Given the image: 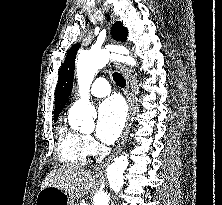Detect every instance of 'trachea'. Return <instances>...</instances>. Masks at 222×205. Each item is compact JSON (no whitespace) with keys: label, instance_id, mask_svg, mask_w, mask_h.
I'll use <instances>...</instances> for the list:
<instances>
[{"label":"trachea","instance_id":"trachea-1","mask_svg":"<svg viewBox=\"0 0 222 205\" xmlns=\"http://www.w3.org/2000/svg\"><path fill=\"white\" fill-rule=\"evenodd\" d=\"M113 79L118 86H120V87L126 86V80L120 73H114Z\"/></svg>","mask_w":222,"mask_h":205}]
</instances>
